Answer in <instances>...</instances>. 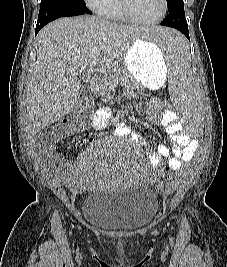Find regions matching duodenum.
I'll list each match as a JSON object with an SVG mask.
<instances>
[{
	"mask_svg": "<svg viewBox=\"0 0 227 267\" xmlns=\"http://www.w3.org/2000/svg\"><path fill=\"white\" fill-rule=\"evenodd\" d=\"M99 80H100V77L97 75L92 78L89 84V89L92 93L97 91Z\"/></svg>",
	"mask_w": 227,
	"mask_h": 267,
	"instance_id": "duodenum-1",
	"label": "duodenum"
}]
</instances>
